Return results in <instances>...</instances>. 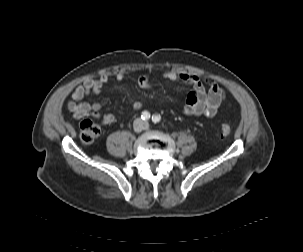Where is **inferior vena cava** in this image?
Instances as JSON below:
<instances>
[{
  "label": "inferior vena cava",
  "mask_w": 303,
  "mask_h": 252,
  "mask_svg": "<svg viewBox=\"0 0 303 252\" xmlns=\"http://www.w3.org/2000/svg\"><path fill=\"white\" fill-rule=\"evenodd\" d=\"M138 123H143L140 119L135 120L134 122V127L137 128V124ZM143 127H140V129H142Z\"/></svg>",
  "instance_id": "obj_1"
}]
</instances>
